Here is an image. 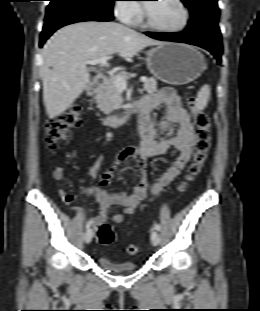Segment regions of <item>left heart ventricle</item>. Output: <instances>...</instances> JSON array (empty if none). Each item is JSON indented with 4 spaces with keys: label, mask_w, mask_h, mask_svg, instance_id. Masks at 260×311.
<instances>
[{
    "label": "left heart ventricle",
    "mask_w": 260,
    "mask_h": 311,
    "mask_svg": "<svg viewBox=\"0 0 260 311\" xmlns=\"http://www.w3.org/2000/svg\"><path fill=\"white\" fill-rule=\"evenodd\" d=\"M146 5L150 19L160 27L173 28L183 20V11L175 0H158Z\"/></svg>",
    "instance_id": "left-heart-ventricle-1"
}]
</instances>
